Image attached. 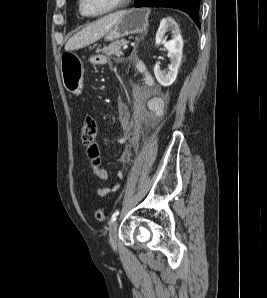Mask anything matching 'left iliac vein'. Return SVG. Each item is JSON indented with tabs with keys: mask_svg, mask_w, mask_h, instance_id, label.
<instances>
[{
	"mask_svg": "<svg viewBox=\"0 0 267 298\" xmlns=\"http://www.w3.org/2000/svg\"><path fill=\"white\" fill-rule=\"evenodd\" d=\"M117 230L118 222L112 221L109 227V243L114 250L117 249Z\"/></svg>",
	"mask_w": 267,
	"mask_h": 298,
	"instance_id": "left-iliac-vein-1",
	"label": "left iliac vein"
}]
</instances>
